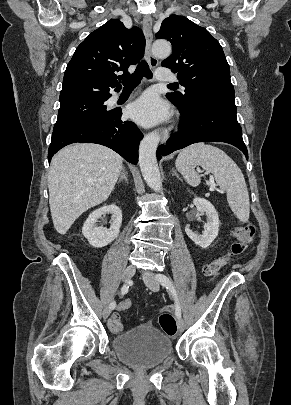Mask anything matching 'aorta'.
<instances>
[{"label": "aorta", "mask_w": 291, "mask_h": 405, "mask_svg": "<svg viewBox=\"0 0 291 405\" xmlns=\"http://www.w3.org/2000/svg\"><path fill=\"white\" fill-rule=\"evenodd\" d=\"M171 51V44L166 40H156L152 45V52L159 58L168 57ZM159 141V133L153 131L142 139L139 146V165L143 178L155 192H162V181L156 159Z\"/></svg>", "instance_id": "aorta-1"}]
</instances>
